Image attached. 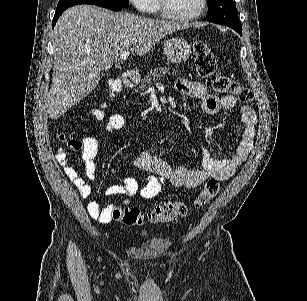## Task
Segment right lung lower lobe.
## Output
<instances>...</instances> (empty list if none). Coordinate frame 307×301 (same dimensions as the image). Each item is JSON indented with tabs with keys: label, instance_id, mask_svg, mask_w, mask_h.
Returning <instances> with one entry per match:
<instances>
[{
	"label": "right lung lower lobe",
	"instance_id": "obj_1",
	"mask_svg": "<svg viewBox=\"0 0 307 301\" xmlns=\"http://www.w3.org/2000/svg\"><path fill=\"white\" fill-rule=\"evenodd\" d=\"M93 5H97V6H101V7H104V8H108V9H111L113 11H120L122 8L119 7V6H115V5H108V4H93ZM67 9V8H66ZM66 9H63V10H59V11H56L55 12V15H54V18L52 20V26L54 27L58 18L60 17V15L66 10Z\"/></svg>",
	"mask_w": 307,
	"mask_h": 301
}]
</instances>
